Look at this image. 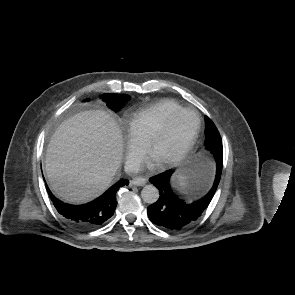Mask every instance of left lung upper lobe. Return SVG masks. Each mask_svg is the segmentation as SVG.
<instances>
[{
	"label": "left lung upper lobe",
	"instance_id": "obj_1",
	"mask_svg": "<svg viewBox=\"0 0 295 295\" xmlns=\"http://www.w3.org/2000/svg\"><path fill=\"white\" fill-rule=\"evenodd\" d=\"M205 146L209 151H220L223 153L222 139L214 123L205 116Z\"/></svg>",
	"mask_w": 295,
	"mask_h": 295
}]
</instances>
